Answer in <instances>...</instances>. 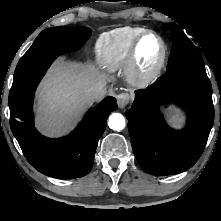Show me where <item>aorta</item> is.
Instances as JSON below:
<instances>
[{
  "label": "aorta",
  "instance_id": "762f6f07",
  "mask_svg": "<svg viewBox=\"0 0 221 221\" xmlns=\"http://www.w3.org/2000/svg\"><path fill=\"white\" fill-rule=\"evenodd\" d=\"M108 125L112 130L121 131L125 127V118L120 113H113L109 116Z\"/></svg>",
  "mask_w": 221,
  "mask_h": 221
}]
</instances>
